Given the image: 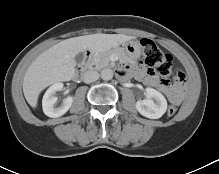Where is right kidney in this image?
I'll use <instances>...</instances> for the list:
<instances>
[{
  "instance_id": "obj_1",
  "label": "right kidney",
  "mask_w": 219,
  "mask_h": 174,
  "mask_svg": "<svg viewBox=\"0 0 219 174\" xmlns=\"http://www.w3.org/2000/svg\"><path fill=\"white\" fill-rule=\"evenodd\" d=\"M63 83L58 82L50 86L45 92L42 99V108L45 115L51 118H57L64 115L73 103V97H67L63 100L62 104L59 107H55L57 102V97L55 93L62 90Z\"/></svg>"
}]
</instances>
